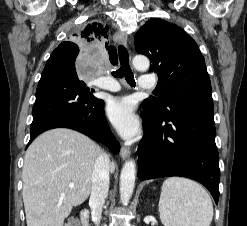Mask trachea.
I'll return each instance as SVG.
<instances>
[{
  "instance_id": "3493384b",
  "label": "trachea",
  "mask_w": 247,
  "mask_h": 226,
  "mask_svg": "<svg viewBox=\"0 0 247 226\" xmlns=\"http://www.w3.org/2000/svg\"><path fill=\"white\" fill-rule=\"evenodd\" d=\"M118 52H119V60H120V65L121 66L117 71L112 72V75L115 78L125 77L127 83L130 86L135 87L136 86V82H135L132 70L130 68V65H129L128 51L124 46L120 45L119 48H118Z\"/></svg>"
}]
</instances>
